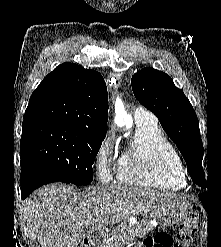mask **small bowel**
Segmentation results:
<instances>
[{"label": "small bowel", "instance_id": "small-bowel-1", "mask_svg": "<svg viewBox=\"0 0 221 247\" xmlns=\"http://www.w3.org/2000/svg\"><path fill=\"white\" fill-rule=\"evenodd\" d=\"M138 247H148L145 243L142 245H139Z\"/></svg>", "mask_w": 221, "mask_h": 247}]
</instances>
